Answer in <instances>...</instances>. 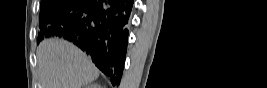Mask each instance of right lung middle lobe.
<instances>
[{"label":"right lung middle lobe","instance_id":"obj_1","mask_svg":"<svg viewBox=\"0 0 267 88\" xmlns=\"http://www.w3.org/2000/svg\"><path fill=\"white\" fill-rule=\"evenodd\" d=\"M79 2L80 0H42L39 20L41 34H39L38 40L44 38L43 30L46 25L63 14L70 12Z\"/></svg>","mask_w":267,"mask_h":88}]
</instances>
